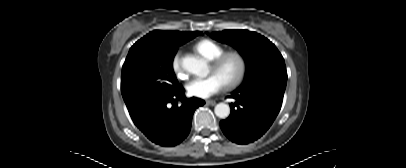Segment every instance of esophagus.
I'll return each instance as SVG.
<instances>
[{"label": "esophagus", "mask_w": 406, "mask_h": 168, "mask_svg": "<svg viewBox=\"0 0 406 168\" xmlns=\"http://www.w3.org/2000/svg\"><path fill=\"white\" fill-rule=\"evenodd\" d=\"M206 104H207V105H212V106H214V105L216 104V102L213 101V100H207V101H206Z\"/></svg>", "instance_id": "obj_1"}]
</instances>
